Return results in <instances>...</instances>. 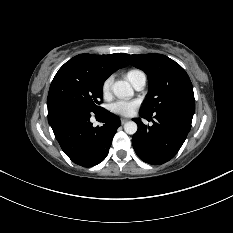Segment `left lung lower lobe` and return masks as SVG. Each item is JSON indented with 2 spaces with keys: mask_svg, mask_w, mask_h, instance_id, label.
Here are the masks:
<instances>
[{
  "mask_svg": "<svg viewBox=\"0 0 233 233\" xmlns=\"http://www.w3.org/2000/svg\"><path fill=\"white\" fill-rule=\"evenodd\" d=\"M156 121L151 127L144 125L140 119H134L138 130L132 138L137 156L152 165H161L171 160L181 148L191 129V116L178 112L166 111L154 114ZM142 118L152 115L141 111Z\"/></svg>",
  "mask_w": 233,
  "mask_h": 233,
  "instance_id": "0a47b994",
  "label": "left lung lower lobe"
}]
</instances>
